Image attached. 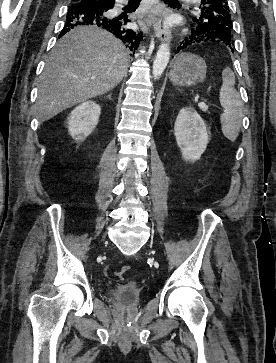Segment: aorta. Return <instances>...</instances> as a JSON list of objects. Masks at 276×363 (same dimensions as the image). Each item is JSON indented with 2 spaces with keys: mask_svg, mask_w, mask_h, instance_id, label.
Instances as JSON below:
<instances>
[{
  "mask_svg": "<svg viewBox=\"0 0 276 363\" xmlns=\"http://www.w3.org/2000/svg\"><path fill=\"white\" fill-rule=\"evenodd\" d=\"M170 59V47L163 43L160 45L153 62L152 73L154 79H158L163 74Z\"/></svg>",
  "mask_w": 276,
  "mask_h": 363,
  "instance_id": "obj_1",
  "label": "aorta"
}]
</instances>
